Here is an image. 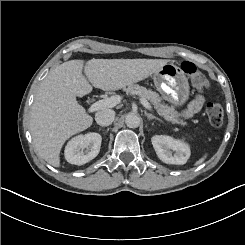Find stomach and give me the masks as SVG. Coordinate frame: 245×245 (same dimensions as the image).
<instances>
[{"label":"stomach","mask_w":245,"mask_h":245,"mask_svg":"<svg viewBox=\"0 0 245 245\" xmlns=\"http://www.w3.org/2000/svg\"><path fill=\"white\" fill-rule=\"evenodd\" d=\"M157 90L163 97L174 103L182 104L189 93L187 78L182 69L173 63H166L152 74Z\"/></svg>","instance_id":"0dacf381"}]
</instances>
